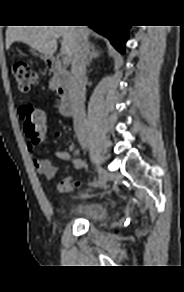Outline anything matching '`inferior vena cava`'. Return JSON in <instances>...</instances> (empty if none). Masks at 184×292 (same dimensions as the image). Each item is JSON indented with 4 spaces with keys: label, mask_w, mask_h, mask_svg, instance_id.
<instances>
[{
    "label": "inferior vena cava",
    "mask_w": 184,
    "mask_h": 292,
    "mask_svg": "<svg viewBox=\"0 0 184 292\" xmlns=\"http://www.w3.org/2000/svg\"><path fill=\"white\" fill-rule=\"evenodd\" d=\"M78 42L71 60V87L74 113L73 124L76 136L83 148L87 147L85 120V85L87 82L86 66L88 63L89 43L84 26H77Z\"/></svg>",
    "instance_id": "1"
}]
</instances>
